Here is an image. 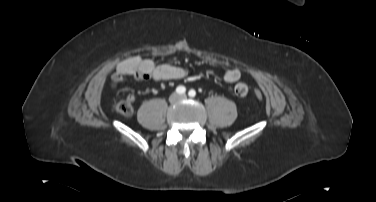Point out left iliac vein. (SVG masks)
Wrapping results in <instances>:
<instances>
[{"label": "left iliac vein", "instance_id": "4c4485c4", "mask_svg": "<svg viewBox=\"0 0 376 202\" xmlns=\"http://www.w3.org/2000/svg\"><path fill=\"white\" fill-rule=\"evenodd\" d=\"M186 97V95H181L180 98L181 99H184Z\"/></svg>", "mask_w": 376, "mask_h": 202}]
</instances>
